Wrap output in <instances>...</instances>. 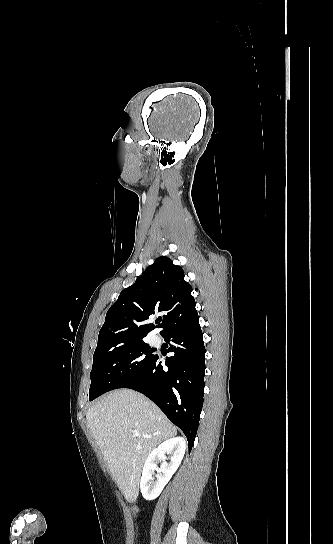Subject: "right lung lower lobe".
I'll use <instances>...</instances> for the list:
<instances>
[{"label": "right lung lower lobe", "mask_w": 333, "mask_h": 544, "mask_svg": "<svg viewBox=\"0 0 333 544\" xmlns=\"http://www.w3.org/2000/svg\"><path fill=\"white\" fill-rule=\"evenodd\" d=\"M172 342L163 370L156 355L142 376L123 388H130L151 399L186 435L191 449L203 406L205 347L198 314L181 320L163 333Z\"/></svg>", "instance_id": "98d812e1"}]
</instances>
